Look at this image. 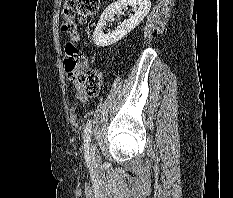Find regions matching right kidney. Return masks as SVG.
Listing matches in <instances>:
<instances>
[{
    "label": "right kidney",
    "instance_id": "right-kidney-1",
    "mask_svg": "<svg viewBox=\"0 0 233 198\" xmlns=\"http://www.w3.org/2000/svg\"><path fill=\"white\" fill-rule=\"evenodd\" d=\"M127 6H133L135 8V14L130 15L128 19L119 22L117 29L111 33L104 34L103 27L106 24V20L114 16L117 12L122 11ZM150 8V0H118L115 3H112L102 13L95 31L93 32L94 44L98 47H105L118 42L145 18L150 11Z\"/></svg>",
    "mask_w": 233,
    "mask_h": 198
}]
</instances>
